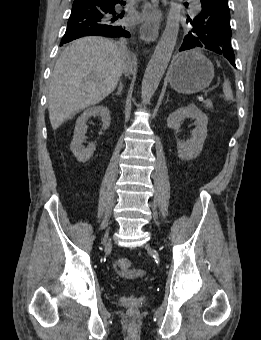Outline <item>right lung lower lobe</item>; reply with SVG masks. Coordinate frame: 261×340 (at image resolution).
Instances as JSON below:
<instances>
[{
    "label": "right lung lower lobe",
    "mask_w": 261,
    "mask_h": 340,
    "mask_svg": "<svg viewBox=\"0 0 261 340\" xmlns=\"http://www.w3.org/2000/svg\"><path fill=\"white\" fill-rule=\"evenodd\" d=\"M120 0H75L63 39L100 35L107 37L126 36L123 29L126 12H120Z\"/></svg>",
    "instance_id": "1"
}]
</instances>
